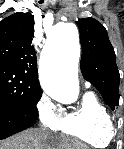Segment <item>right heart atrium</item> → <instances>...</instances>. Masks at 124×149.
Listing matches in <instances>:
<instances>
[{
	"label": "right heart atrium",
	"instance_id": "right-heart-atrium-1",
	"mask_svg": "<svg viewBox=\"0 0 124 149\" xmlns=\"http://www.w3.org/2000/svg\"><path fill=\"white\" fill-rule=\"evenodd\" d=\"M37 116L43 126L56 130L64 112L47 95L43 94L37 103Z\"/></svg>",
	"mask_w": 124,
	"mask_h": 149
}]
</instances>
